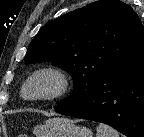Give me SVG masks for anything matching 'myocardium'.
Here are the masks:
<instances>
[{
  "instance_id": "1",
  "label": "myocardium",
  "mask_w": 144,
  "mask_h": 137,
  "mask_svg": "<svg viewBox=\"0 0 144 137\" xmlns=\"http://www.w3.org/2000/svg\"><path fill=\"white\" fill-rule=\"evenodd\" d=\"M40 77H50L55 81V88L47 94L28 96L26 89L30 83ZM70 88V80L68 75L60 68L54 66H46L33 71L24 81L22 85V96L31 101H53L64 96Z\"/></svg>"
}]
</instances>
